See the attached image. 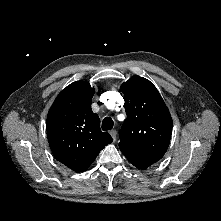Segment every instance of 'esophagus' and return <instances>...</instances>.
I'll return each instance as SVG.
<instances>
[{
    "label": "esophagus",
    "mask_w": 221,
    "mask_h": 221,
    "mask_svg": "<svg viewBox=\"0 0 221 221\" xmlns=\"http://www.w3.org/2000/svg\"><path fill=\"white\" fill-rule=\"evenodd\" d=\"M110 135L112 136L113 140L116 141V136H117V131L116 130H111Z\"/></svg>",
    "instance_id": "obj_1"
}]
</instances>
